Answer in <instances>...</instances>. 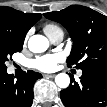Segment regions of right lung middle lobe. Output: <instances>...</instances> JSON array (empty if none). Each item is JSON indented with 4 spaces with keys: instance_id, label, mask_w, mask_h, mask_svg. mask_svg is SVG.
<instances>
[{
    "instance_id": "dd1d6c3e",
    "label": "right lung middle lobe",
    "mask_w": 107,
    "mask_h": 107,
    "mask_svg": "<svg viewBox=\"0 0 107 107\" xmlns=\"http://www.w3.org/2000/svg\"><path fill=\"white\" fill-rule=\"evenodd\" d=\"M23 42L24 40L14 39L8 31L0 27V69H7L5 62L13 53L22 50Z\"/></svg>"
}]
</instances>
